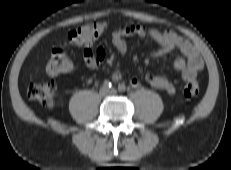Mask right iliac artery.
<instances>
[{
	"label": "right iliac artery",
	"mask_w": 231,
	"mask_h": 170,
	"mask_svg": "<svg viewBox=\"0 0 231 170\" xmlns=\"http://www.w3.org/2000/svg\"><path fill=\"white\" fill-rule=\"evenodd\" d=\"M103 86L107 89L112 88V83L109 80H105Z\"/></svg>",
	"instance_id": "right-iliac-artery-1"
}]
</instances>
